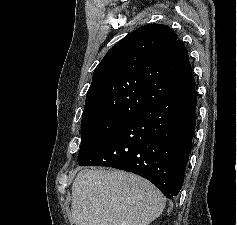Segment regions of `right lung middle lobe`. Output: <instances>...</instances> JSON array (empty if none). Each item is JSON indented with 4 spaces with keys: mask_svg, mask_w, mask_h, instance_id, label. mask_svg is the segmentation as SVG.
<instances>
[{
    "mask_svg": "<svg viewBox=\"0 0 237 225\" xmlns=\"http://www.w3.org/2000/svg\"><path fill=\"white\" fill-rule=\"evenodd\" d=\"M132 117H91L81 121V147L78 161L124 126Z\"/></svg>",
    "mask_w": 237,
    "mask_h": 225,
    "instance_id": "dd1d6c3e",
    "label": "right lung middle lobe"
}]
</instances>
